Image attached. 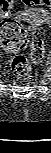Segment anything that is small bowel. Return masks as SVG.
<instances>
[{
    "mask_svg": "<svg viewBox=\"0 0 51 153\" xmlns=\"http://www.w3.org/2000/svg\"><path fill=\"white\" fill-rule=\"evenodd\" d=\"M0 3H1V6H2V9H3L5 12H7V11H9V10L11 9V4H10L9 1H7V0H2V1H0ZM39 21H41V20H39Z\"/></svg>",
    "mask_w": 51,
    "mask_h": 153,
    "instance_id": "obj_1",
    "label": "small bowel"
}]
</instances>
